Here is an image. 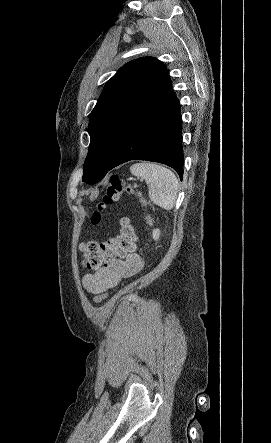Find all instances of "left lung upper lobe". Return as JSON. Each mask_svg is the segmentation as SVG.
<instances>
[{
    "mask_svg": "<svg viewBox=\"0 0 271 443\" xmlns=\"http://www.w3.org/2000/svg\"><path fill=\"white\" fill-rule=\"evenodd\" d=\"M165 70L158 59L142 57L122 66L106 83L90 114V146L83 182L95 184L110 170L126 128Z\"/></svg>",
    "mask_w": 271,
    "mask_h": 443,
    "instance_id": "left-lung-upper-lobe-1",
    "label": "left lung upper lobe"
}]
</instances>
